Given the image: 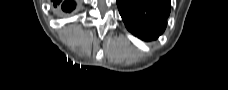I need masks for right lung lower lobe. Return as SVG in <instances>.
Wrapping results in <instances>:
<instances>
[{
    "mask_svg": "<svg viewBox=\"0 0 228 90\" xmlns=\"http://www.w3.org/2000/svg\"><path fill=\"white\" fill-rule=\"evenodd\" d=\"M53 2H54V5H55V6H56L57 4H58V5H61V4H62V9H63L64 11H70V10L74 9L75 6H76V4H75L73 1H71V0L65 1V2H63V3H61V0H60V1L54 0Z\"/></svg>",
    "mask_w": 228,
    "mask_h": 90,
    "instance_id": "1",
    "label": "right lung lower lobe"
}]
</instances>
